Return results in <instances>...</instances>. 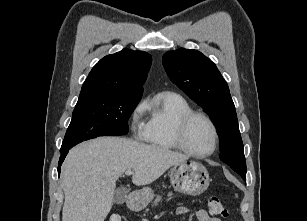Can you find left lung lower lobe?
<instances>
[{
  "label": "left lung lower lobe",
  "mask_w": 307,
  "mask_h": 221,
  "mask_svg": "<svg viewBox=\"0 0 307 221\" xmlns=\"http://www.w3.org/2000/svg\"><path fill=\"white\" fill-rule=\"evenodd\" d=\"M244 180H246V175H241Z\"/></svg>",
  "instance_id": "obj_1"
}]
</instances>
